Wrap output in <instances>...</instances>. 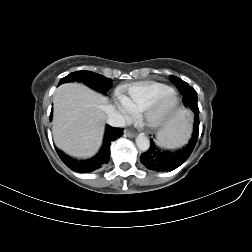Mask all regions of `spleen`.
Instances as JSON below:
<instances>
[{
    "label": "spleen",
    "mask_w": 252,
    "mask_h": 252,
    "mask_svg": "<svg viewBox=\"0 0 252 252\" xmlns=\"http://www.w3.org/2000/svg\"><path fill=\"white\" fill-rule=\"evenodd\" d=\"M191 131L190 119L185 111H179L168 126L157 135L159 144L174 148L184 144Z\"/></svg>",
    "instance_id": "obj_1"
}]
</instances>
